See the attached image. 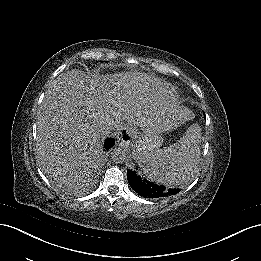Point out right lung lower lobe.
Returning <instances> with one entry per match:
<instances>
[{"label": "right lung lower lobe", "mask_w": 261, "mask_h": 261, "mask_svg": "<svg viewBox=\"0 0 261 261\" xmlns=\"http://www.w3.org/2000/svg\"><path fill=\"white\" fill-rule=\"evenodd\" d=\"M115 144V139H107L105 144H104V147L106 150H109L111 147H113Z\"/></svg>", "instance_id": "obj_1"}]
</instances>
